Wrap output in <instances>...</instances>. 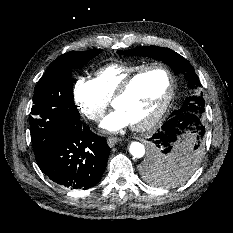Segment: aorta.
<instances>
[{"instance_id": "1", "label": "aorta", "mask_w": 233, "mask_h": 233, "mask_svg": "<svg viewBox=\"0 0 233 233\" xmlns=\"http://www.w3.org/2000/svg\"><path fill=\"white\" fill-rule=\"evenodd\" d=\"M130 154L135 158H141L145 155V147L140 142H132L129 146Z\"/></svg>"}]
</instances>
